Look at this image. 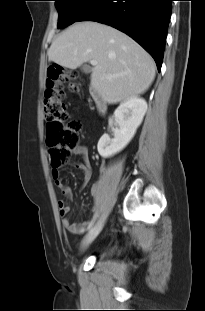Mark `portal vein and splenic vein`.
Returning a JSON list of instances; mask_svg holds the SVG:
<instances>
[{"label": "portal vein and splenic vein", "instance_id": "18ae733b", "mask_svg": "<svg viewBox=\"0 0 205 311\" xmlns=\"http://www.w3.org/2000/svg\"><path fill=\"white\" fill-rule=\"evenodd\" d=\"M90 63H91L93 66H95V65L98 64V62H97L96 60H92V61H90Z\"/></svg>", "mask_w": 205, "mask_h": 311}]
</instances>
